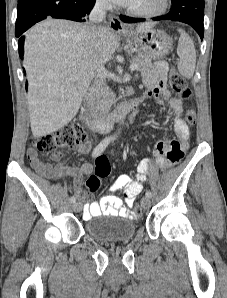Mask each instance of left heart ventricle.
I'll return each instance as SVG.
<instances>
[{
    "instance_id": "left-heart-ventricle-1",
    "label": "left heart ventricle",
    "mask_w": 227,
    "mask_h": 298,
    "mask_svg": "<svg viewBox=\"0 0 227 298\" xmlns=\"http://www.w3.org/2000/svg\"><path fill=\"white\" fill-rule=\"evenodd\" d=\"M160 0H135L131 8L139 10H152L158 7Z\"/></svg>"
}]
</instances>
